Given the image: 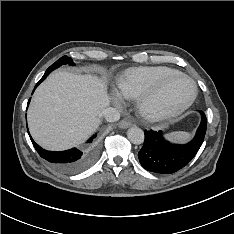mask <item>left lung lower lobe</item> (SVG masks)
<instances>
[{
    "label": "left lung lower lobe",
    "instance_id": "0a47b994",
    "mask_svg": "<svg viewBox=\"0 0 234 234\" xmlns=\"http://www.w3.org/2000/svg\"><path fill=\"white\" fill-rule=\"evenodd\" d=\"M200 114L202 119L195 137L184 145L166 141L161 131H145L144 144L138 153L141 165L148 171L161 174L174 173L187 165L197 154L205 137L207 119L203 111Z\"/></svg>",
    "mask_w": 234,
    "mask_h": 234
}]
</instances>
